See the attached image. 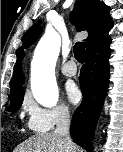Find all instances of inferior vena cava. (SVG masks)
Here are the masks:
<instances>
[{
  "mask_svg": "<svg viewBox=\"0 0 123 152\" xmlns=\"http://www.w3.org/2000/svg\"><path fill=\"white\" fill-rule=\"evenodd\" d=\"M70 115L66 110H62L59 112L56 129L54 133L63 138L65 143H69L71 141L70 138Z\"/></svg>",
  "mask_w": 123,
  "mask_h": 152,
  "instance_id": "obj_1",
  "label": "inferior vena cava"
}]
</instances>
